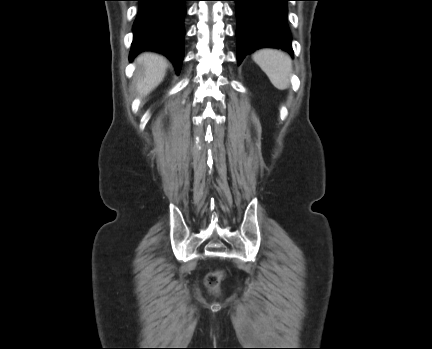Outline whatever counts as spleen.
Returning <instances> with one entry per match:
<instances>
[{
	"mask_svg": "<svg viewBox=\"0 0 432 349\" xmlns=\"http://www.w3.org/2000/svg\"><path fill=\"white\" fill-rule=\"evenodd\" d=\"M252 59L275 88L285 90L289 87L292 73V60L289 55L276 49H261L252 55Z\"/></svg>",
	"mask_w": 432,
	"mask_h": 349,
	"instance_id": "3e777b00",
	"label": "spleen"
}]
</instances>
